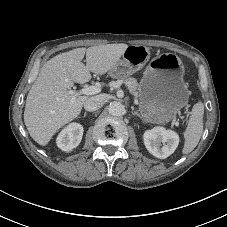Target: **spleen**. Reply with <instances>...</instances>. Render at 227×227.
Returning <instances> with one entry per match:
<instances>
[{"instance_id": "3e777b00", "label": "spleen", "mask_w": 227, "mask_h": 227, "mask_svg": "<svg viewBox=\"0 0 227 227\" xmlns=\"http://www.w3.org/2000/svg\"><path fill=\"white\" fill-rule=\"evenodd\" d=\"M203 114L204 105L201 102L196 103L188 120L187 128L184 132V147L182 153L184 155L192 152L198 145L203 134Z\"/></svg>"}]
</instances>
